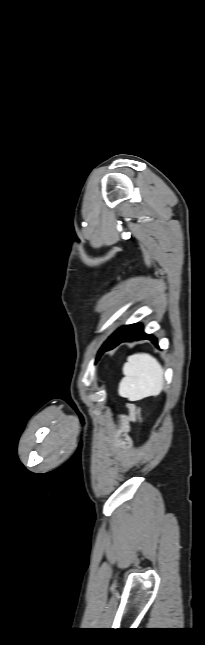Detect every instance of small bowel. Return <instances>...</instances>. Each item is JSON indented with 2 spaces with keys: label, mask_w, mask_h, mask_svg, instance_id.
<instances>
[{
  "label": "small bowel",
  "mask_w": 205,
  "mask_h": 645,
  "mask_svg": "<svg viewBox=\"0 0 205 645\" xmlns=\"http://www.w3.org/2000/svg\"><path fill=\"white\" fill-rule=\"evenodd\" d=\"M130 414L128 416L121 417V430L120 432H115L112 434V446L118 452L119 455H124L129 452L133 446V441L129 436V423L134 421V407L132 405L128 406Z\"/></svg>",
  "instance_id": "1"
}]
</instances>
